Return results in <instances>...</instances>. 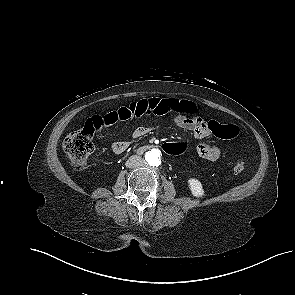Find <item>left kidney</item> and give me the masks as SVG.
I'll list each match as a JSON object with an SVG mask.
<instances>
[{
	"label": "left kidney",
	"mask_w": 295,
	"mask_h": 295,
	"mask_svg": "<svg viewBox=\"0 0 295 295\" xmlns=\"http://www.w3.org/2000/svg\"><path fill=\"white\" fill-rule=\"evenodd\" d=\"M188 186L193 196L199 198L204 195L202 184L198 179L190 178L188 180Z\"/></svg>",
	"instance_id": "5707ae66"
}]
</instances>
